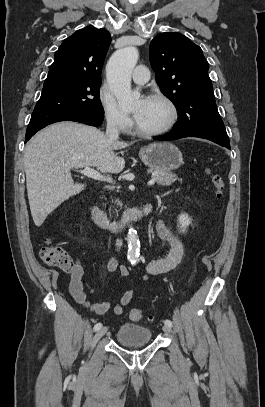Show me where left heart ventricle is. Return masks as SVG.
<instances>
[{
  "mask_svg": "<svg viewBox=\"0 0 265 407\" xmlns=\"http://www.w3.org/2000/svg\"><path fill=\"white\" fill-rule=\"evenodd\" d=\"M136 125L143 130H156L169 120L168 107L161 101L145 99L137 101L132 109Z\"/></svg>",
  "mask_w": 265,
  "mask_h": 407,
  "instance_id": "left-heart-ventricle-1",
  "label": "left heart ventricle"
}]
</instances>
